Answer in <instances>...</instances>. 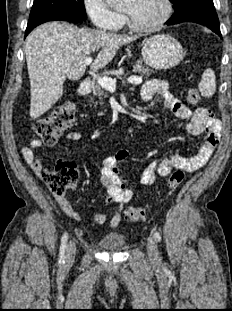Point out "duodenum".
<instances>
[{"instance_id": "obj_1", "label": "duodenum", "mask_w": 232, "mask_h": 311, "mask_svg": "<svg viewBox=\"0 0 232 311\" xmlns=\"http://www.w3.org/2000/svg\"><path fill=\"white\" fill-rule=\"evenodd\" d=\"M90 87H91V81H90V79H89V78L83 79V80L80 82V85H79V89H78L79 95H81V96L86 95V94L89 92Z\"/></svg>"}]
</instances>
